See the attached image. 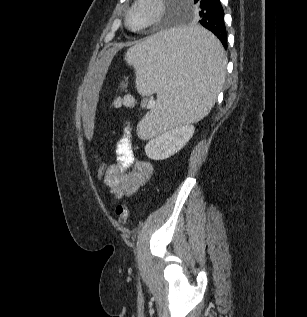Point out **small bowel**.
<instances>
[{
	"label": "small bowel",
	"mask_w": 307,
	"mask_h": 317,
	"mask_svg": "<svg viewBox=\"0 0 307 317\" xmlns=\"http://www.w3.org/2000/svg\"><path fill=\"white\" fill-rule=\"evenodd\" d=\"M131 136L132 127L127 123L123 135L115 146L116 162L108 165L104 176V184L116 199L134 194L150 180L154 173L151 163L135 158Z\"/></svg>",
	"instance_id": "obj_1"
}]
</instances>
